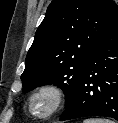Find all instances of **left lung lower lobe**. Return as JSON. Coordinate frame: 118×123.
Here are the masks:
<instances>
[{
  "mask_svg": "<svg viewBox=\"0 0 118 123\" xmlns=\"http://www.w3.org/2000/svg\"><path fill=\"white\" fill-rule=\"evenodd\" d=\"M85 116L118 120V20L92 50L60 121Z\"/></svg>",
  "mask_w": 118,
  "mask_h": 123,
  "instance_id": "obj_1",
  "label": "left lung lower lobe"
}]
</instances>
